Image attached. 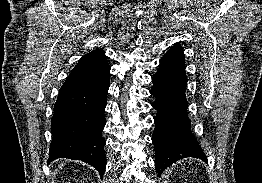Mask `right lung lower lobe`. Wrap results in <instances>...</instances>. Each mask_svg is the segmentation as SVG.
I'll return each mask as SVG.
<instances>
[{
  "instance_id": "1",
  "label": "right lung lower lobe",
  "mask_w": 262,
  "mask_h": 183,
  "mask_svg": "<svg viewBox=\"0 0 262 183\" xmlns=\"http://www.w3.org/2000/svg\"><path fill=\"white\" fill-rule=\"evenodd\" d=\"M107 62L77 64L59 90L51 121L52 141L48 163L58 158L81 160L102 176L104 111L110 86Z\"/></svg>"
}]
</instances>
